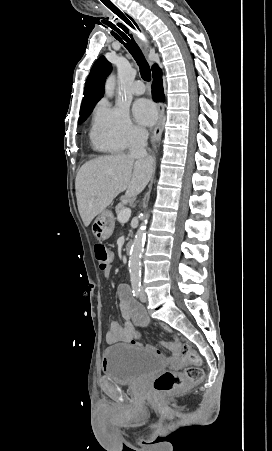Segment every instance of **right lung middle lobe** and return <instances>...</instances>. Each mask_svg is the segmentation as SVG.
<instances>
[{
  "label": "right lung middle lobe",
  "mask_w": 272,
  "mask_h": 451,
  "mask_svg": "<svg viewBox=\"0 0 272 451\" xmlns=\"http://www.w3.org/2000/svg\"><path fill=\"white\" fill-rule=\"evenodd\" d=\"M93 108H82L80 110L79 123H82L90 115Z\"/></svg>",
  "instance_id": "obj_1"
}]
</instances>
